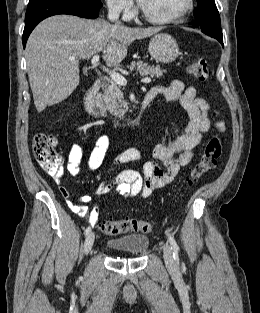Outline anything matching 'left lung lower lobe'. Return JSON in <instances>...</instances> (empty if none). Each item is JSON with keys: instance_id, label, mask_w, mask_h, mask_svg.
I'll list each match as a JSON object with an SVG mask.
<instances>
[{"instance_id": "left-lung-lower-lobe-1", "label": "left lung lower lobe", "mask_w": 260, "mask_h": 313, "mask_svg": "<svg viewBox=\"0 0 260 313\" xmlns=\"http://www.w3.org/2000/svg\"><path fill=\"white\" fill-rule=\"evenodd\" d=\"M211 37H214L215 39H217L223 45V37H219V36H216V35H212Z\"/></svg>"}]
</instances>
